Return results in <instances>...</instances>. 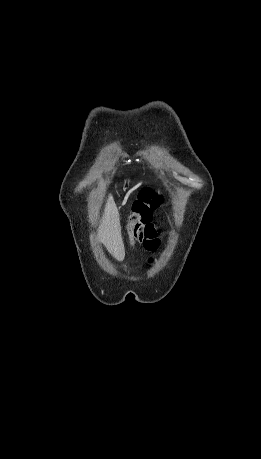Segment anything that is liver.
<instances>
[{"instance_id": "1", "label": "liver", "mask_w": 261, "mask_h": 459, "mask_svg": "<svg viewBox=\"0 0 261 459\" xmlns=\"http://www.w3.org/2000/svg\"><path fill=\"white\" fill-rule=\"evenodd\" d=\"M99 234L101 236V241L104 243L107 250L118 261H122L124 259L123 243L118 232L108 220H105L99 228Z\"/></svg>"}]
</instances>
